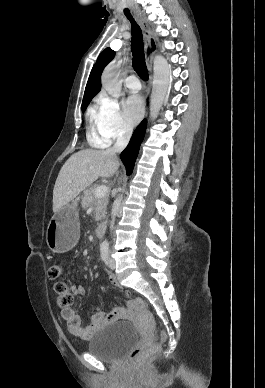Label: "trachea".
<instances>
[{
	"label": "trachea",
	"instance_id": "3493384b",
	"mask_svg": "<svg viewBox=\"0 0 265 388\" xmlns=\"http://www.w3.org/2000/svg\"><path fill=\"white\" fill-rule=\"evenodd\" d=\"M124 13L126 17L131 22V32H132V38H131V49H132V55H133V67L134 70L138 73V75L143 79H148V72L147 67L145 63V56H144V45H143V37L140 27L137 25V23L132 18L129 10H124Z\"/></svg>",
	"mask_w": 265,
	"mask_h": 388
}]
</instances>
